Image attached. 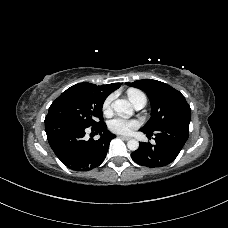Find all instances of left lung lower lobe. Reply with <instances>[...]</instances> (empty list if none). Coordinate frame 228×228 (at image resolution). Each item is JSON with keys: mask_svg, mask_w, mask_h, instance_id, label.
Listing matches in <instances>:
<instances>
[{"mask_svg": "<svg viewBox=\"0 0 228 228\" xmlns=\"http://www.w3.org/2000/svg\"><path fill=\"white\" fill-rule=\"evenodd\" d=\"M141 131L150 136L154 133L156 143L152 145L142 142L131 153L132 159L142 166L163 167L173 162L183 148L189 135V122L169 124L156 132Z\"/></svg>", "mask_w": 228, "mask_h": 228, "instance_id": "left-lung-lower-lobe-1", "label": "left lung lower lobe"}]
</instances>
